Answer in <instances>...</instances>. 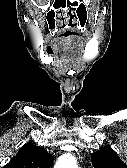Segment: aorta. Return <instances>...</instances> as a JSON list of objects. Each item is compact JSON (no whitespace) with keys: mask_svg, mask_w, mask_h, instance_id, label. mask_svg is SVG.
Segmentation results:
<instances>
[{"mask_svg":"<svg viewBox=\"0 0 127 168\" xmlns=\"http://www.w3.org/2000/svg\"><path fill=\"white\" fill-rule=\"evenodd\" d=\"M54 168H78V166L72 155L65 154L59 158Z\"/></svg>","mask_w":127,"mask_h":168,"instance_id":"aorta-1","label":"aorta"}]
</instances>
